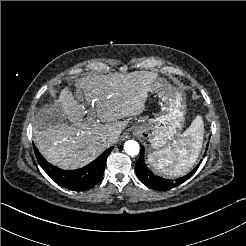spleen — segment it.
<instances>
[{
  "label": "spleen",
  "mask_w": 246,
  "mask_h": 246,
  "mask_svg": "<svg viewBox=\"0 0 246 246\" xmlns=\"http://www.w3.org/2000/svg\"><path fill=\"white\" fill-rule=\"evenodd\" d=\"M204 136L201 116H197L189 128L168 147L154 152L149 163L167 177L185 175L196 164Z\"/></svg>",
  "instance_id": "3e777b00"
}]
</instances>
